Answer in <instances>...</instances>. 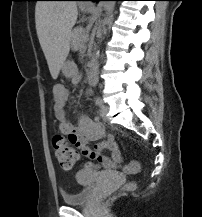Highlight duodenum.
<instances>
[{
    "label": "duodenum",
    "mask_w": 202,
    "mask_h": 217,
    "mask_svg": "<svg viewBox=\"0 0 202 217\" xmlns=\"http://www.w3.org/2000/svg\"><path fill=\"white\" fill-rule=\"evenodd\" d=\"M89 82L92 84V85H95L96 84V82H97V72H96V70H95V67L94 66H92V69H91V71H90V73H89Z\"/></svg>",
    "instance_id": "obj_1"
}]
</instances>
